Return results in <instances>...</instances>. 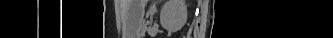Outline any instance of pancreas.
Segmentation results:
<instances>
[{"label":"pancreas","instance_id":"1","mask_svg":"<svg viewBox=\"0 0 333 38\" xmlns=\"http://www.w3.org/2000/svg\"><path fill=\"white\" fill-rule=\"evenodd\" d=\"M146 30H147V26H146V24H144V25H143V28H142V31H143V32H146Z\"/></svg>","mask_w":333,"mask_h":38}]
</instances>
